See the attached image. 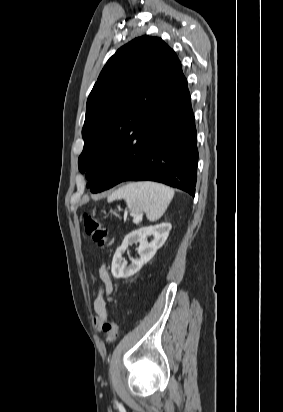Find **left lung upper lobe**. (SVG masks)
Returning <instances> with one entry per match:
<instances>
[{
    "instance_id": "5c2ea615",
    "label": "left lung upper lobe",
    "mask_w": 283,
    "mask_h": 412,
    "mask_svg": "<svg viewBox=\"0 0 283 412\" xmlns=\"http://www.w3.org/2000/svg\"><path fill=\"white\" fill-rule=\"evenodd\" d=\"M185 82L175 52L157 37L136 38L108 60L87 100L78 159L91 192L112 152L141 150Z\"/></svg>"
}]
</instances>
